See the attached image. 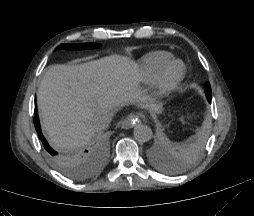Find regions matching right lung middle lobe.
<instances>
[{
    "label": "right lung middle lobe",
    "mask_w": 254,
    "mask_h": 216,
    "mask_svg": "<svg viewBox=\"0 0 254 216\" xmlns=\"http://www.w3.org/2000/svg\"><path fill=\"white\" fill-rule=\"evenodd\" d=\"M100 44L96 43H85V44H62L57 47V49H67V50H82V49H91L98 48ZM49 158L52 163L58 167L64 174L71 177H78L77 173L72 167L71 161L65 156H53L49 154Z\"/></svg>",
    "instance_id": "dd1d6c3e"
}]
</instances>
